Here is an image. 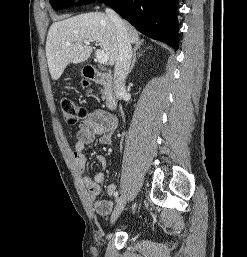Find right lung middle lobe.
Segmentation results:
<instances>
[{
    "mask_svg": "<svg viewBox=\"0 0 247 257\" xmlns=\"http://www.w3.org/2000/svg\"><path fill=\"white\" fill-rule=\"evenodd\" d=\"M52 7L54 9H62L65 8L67 5L72 4L73 0H49ZM92 0H83V2H81V4H86L91 2Z\"/></svg>",
    "mask_w": 247,
    "mask_h": 257,
    "instance_id": "right-lung-middle-lobe-1",
    "label": "right lung middle lobe"
}]
</instances>
